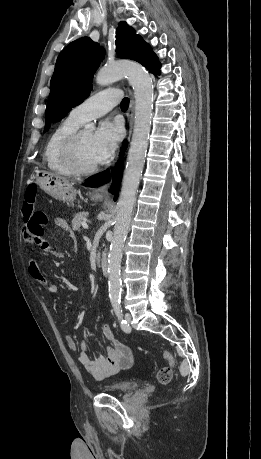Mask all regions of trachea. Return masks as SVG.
<instances>
[{
	"label": "trachea",
	"mask_w": 261,
	"mask_h": 459,
	"mask_svg": "<svg viewBox=\"0 0 261 459\" xmlns=\"http://www.w3.org/2000/svg\"><path fill=\"white\" fill-rule=\"evenodd\" d=\"M128 106H129V99L126 97L122 100L120 107L122 110H127Z\"/></svg>",
	"instance_id": "3493384b"
}]
</instances>
